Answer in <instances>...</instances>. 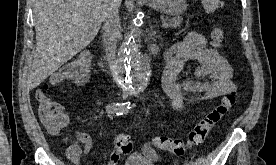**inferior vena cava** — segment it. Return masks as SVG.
Wrapping results in <instances>:
<instances>
[{
	"label": "inferior vena cava",
	"instance_id": "inferior-vena-cava-1",
	"mask_svg": "<svg viewBox=\"0 0 276 165\" xmlns=\"http://www.w3.org/2000/svg\"><path fill=\"white\" fill-rule=\"evenodd\" d=\"M104 25H103V44L106 51L107 61L110 68H115V54L117 39L120 37L121 25L119 18L118 0H105Z\"/></svg>",
	"mask_w": 276,
	"mask_h": 165
}]
</instances>
